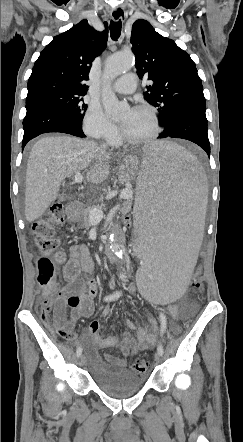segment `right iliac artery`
<instances>
[{
  "mask_svg": "<svg viewBox=\"0 0 243 442\" xmlns=\"http://www.w3.org/2000/svg\"><path fill=\"white\" fill-rule=\"evenodd\" d=\"M120 296H121V292H120V291H117V292H115V293H113V294H111V295H109V296H106V297L104 298V300H105V301H113V300L118 299ZM81 354H82V348L79 346V347L77 348L76 355H77V357H80Z\"/></svg>",
  "mask_w": 243,
  "mask_h": 442,
  "instance_id": "right-iliac-artery-1",
  "label": "right iliac artery"
}]
</instances>
